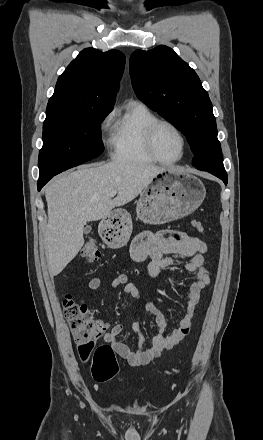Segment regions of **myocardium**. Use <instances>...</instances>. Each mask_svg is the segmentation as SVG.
Masks as SVG:
<instances>
[{
    "label": "myocardium",
    "mask_w": 263,
    "mask_h": 440,
    "mask_svg": "<svg viewBox=\"0 0 263 440\" xmlns=\"http://www.w3.org/2000/svg\"><path fill=\"white\" fill-rule=\"evenodd\" d=\"M161 126H168L171 129H173L178 136L181 139L182 142V151H181V155L174 159V160H164L161 157L158 156V154L155 151V147H154V139H155V134L158 130L159 127ZM144 144H145V148L147 153L150 155V157L158 163L161 164H166V165H171V164H175L180 162L187 151V139L186 136L184 135V133L180 130V128H178L174 123H172L171 121L165 120V119H157L154 122H152L146 129L145 131V135H144Z\"/></svg>",
    "instance_id": "obj_1"
}]
</instances>
